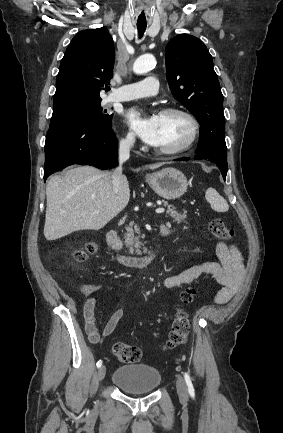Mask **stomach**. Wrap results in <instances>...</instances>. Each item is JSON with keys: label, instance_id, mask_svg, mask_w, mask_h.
Returning <instances> with one entry per match:
<instances>
[{"label": "stomach", "instance_id": "stomach-1", "mask_svg": "<svg viewBox=\"0 0 283 433\" xmlns=\"http://www.w3.org/2000/svg\"><path fill=\"white\" fill-rule=\"evenodd\" d=\"M146 180L159 196H163L167 200L179 198L186 192L188 186L187 178L183 172L177 168H171V166L170 168H162L158 172H152V174H146Z\"/></svg>", "mask_w": 283, "mask_h": 433}]
</instances>
